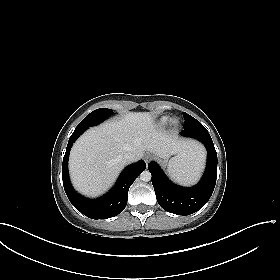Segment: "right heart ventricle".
<instances>
[{"label": "right heart ventricle", "mask_w": 280, "mask_h": 280, "mask_svg": "<svg viewBox=\"0 0 280 280\" xmlns=\"http://www.w3.org/2000/svg\"><path fill=\"white\" fill-rule=\"evenodd\" d=\"M169 120H170V118L169 117H167V116H164V117H162L161 119H160V121H159V126L161 127V128H163V127H165L166 125H167V123L169 122Z\"/></svg>", "instance_id": "e07e8e85"}]
</instances>
